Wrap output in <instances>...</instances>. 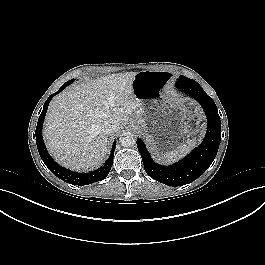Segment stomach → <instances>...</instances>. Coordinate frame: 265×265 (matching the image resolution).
<instances>
[{
  "label": "stomach",
  "mask_w": 265,
  "mask_h": 265,
  "mask_svg": "<svg viewBox=\"0 0 265 265\" xmlns=\"http://www.w3.org/2000/svg\"><path fill=\"white\" fill-rule=\"evenodd\" d=\"M171 77L164 71H141L132 82L142 116L132 120L131 125L147 135L153 152L162 157L181 152L188 133L185 106L179 100L165 96Z\"/></svg>",
  "instance_id": "obj_1"
}]
</instances>
